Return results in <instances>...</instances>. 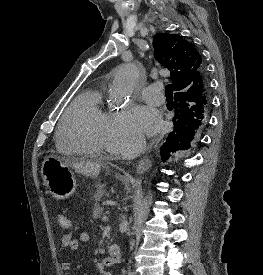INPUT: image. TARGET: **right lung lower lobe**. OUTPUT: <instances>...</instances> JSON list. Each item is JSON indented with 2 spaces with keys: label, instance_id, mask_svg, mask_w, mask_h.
Masks as SVG:
<instances>
[{
  "label": "right lung lower lobe",
  "instance_id": "right-lung-lower-lobe-1",
  "mask_svg": "<svg viewBox=\"0 0 263 275\" xmlns=\"http://www.w3.org/2000/svg\"><path fill=\"white\" fill-rule=\"evenodd\" d=\"M201 77L207 79L204 68L200 70ZM175 115L172 119L174 126L169 133L166 142L160 148L162 161L165 162L170 156V152L178 149H188L190 144L194 143L201 134L206 125L207 116L195 112L191 108L184 106V96L176 94L175 97Z\"/></svg>",
  "mask_w": 263,
  "mask_h": 275
}]
</instances>
